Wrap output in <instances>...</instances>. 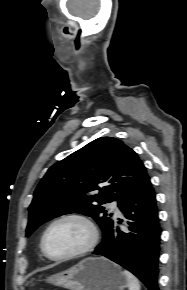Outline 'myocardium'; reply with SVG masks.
I'll use <instances>...</instances> for the list:
<instances>
[{
	"label": "myocardium",
	"mask_w": 187,
	"mask_h": 290,
	"mask_svg": "<svg viewBox=\"0 0 187 290\" xmlns=\"http://www.w3.org/2000/svg\"><path fill=\"white\" fill-rule=\"evenodd\" d=\"M69 220L77 221L81 223L87 229L88 234H89L88 241L82 248L76 251H73L71 253L61 255V256H52L48 252L47 246H46V240H47L48 234L55 225L64 221H69ZM98 240H99V231L94 221L86 214H83L80 212H71V213H66L55 218L48 224L41 238V249H42L43 254L48 259L52 261H65V260L83 256L91 252L97 245Z\"/></svg>",
	"instance_id": "1"
}]
</instances>
